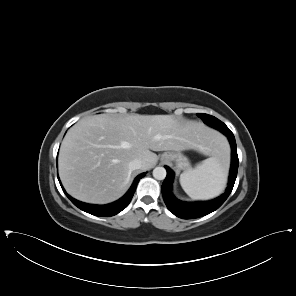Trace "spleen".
<instances>
[{"mask_svg":"<svg viewBox=\"0 0 296 296\" xmlns=\"http://www.w3.org/2000/svg\"><path fill=\"white\" fill-rule=\"evenodd\" d=\"M229 168L225 141L219 142L212 157L189 168L180 175L183 190L192 199L207 200L222 193Z\"/></svg>","mask_w":296,"mask_h":296,"instance_id":"spleen-1","label":"spleen"}]
</instances>
